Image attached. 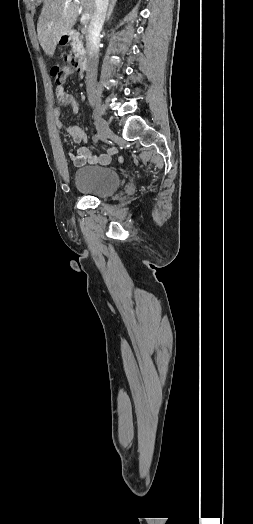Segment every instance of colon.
<instances>
[{
	"label": "colon",
	"mask_w": 253,
	"mask_h": 524,
	"mask_svg": "<svg viewBox=\"0 0 253 524\" xmlns=\"http://www.w3.org/2000/svg\"><path fill=\"white\" fill-rule=\"evenodd\" d=\"M50 73L55 79L57 89L63 88L71 74H75L77 78L84 76V71L78 67L77 53H62L61 64L53 65Z\"/></svg>",
	"instance_id": "1"
}]
</instances>
